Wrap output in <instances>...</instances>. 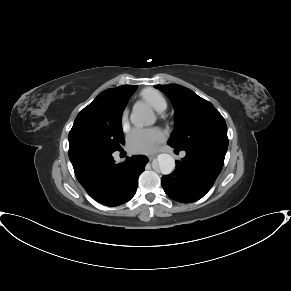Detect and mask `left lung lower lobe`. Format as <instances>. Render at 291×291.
<instances>
[{"mask_svg": "<svg viewBox=\"0 0 291 291\" xmlns=\"http://www.w3.org/2000/svg\"><path fill=\"white\" fill-rule=\"evenodd\" d=\"M186 156L176 161L175 170L161 179L165 193L175 201L195 202L213 186L222 170L227 147L197 145L184 149Z\"/></svg>", "mask_w": 291, "mask_h": 291, "instance_id": "1", "label": "left lung lower lobe"}]
</instances>
